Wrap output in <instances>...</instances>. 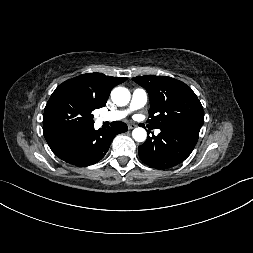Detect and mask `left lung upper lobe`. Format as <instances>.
Wrapping results in <instances>:
<instances>
[{
    "label": "left lung upper lobe",
    "instance_id": "1",
    "mask_svg": "<svg viewBox=\"0 0 253 253\" xmlns=\"http://www.w3.org/2000/svg\"><path fill=\"white\" fill-rule=\"evenodd\" d=\"M132 79L148 91L151 104L148 123L159 129L200 131L204 123L203 107L189 86L167 76Z\"/></svg>",
    "mask_w": 253,
    "mask_h": 253
}]
</instances>
